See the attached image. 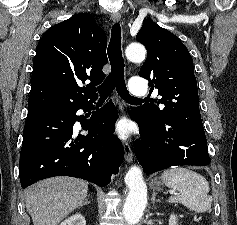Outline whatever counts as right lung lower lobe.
Wrapping results in <instances>:
<instances>
[{
	"instance_id": "1",
	"label": "right lung lower lobe",
	"mask_w": 237,
	"mask_h": 225,
	"mask_svg": "<svg viewBox=\"0 0 237 225\" xmlns=\"http://www.w3.org/2000/svg\"><path fill=\"white\" fill-rule=\"evenodd\" d=\"M95 98L62 109L28 114L20 153L21 186L54 177L71 176L106 186L124 158L121 141L112 133L117 110L107 103L91 119L77 116L89 111ZM81 123L88 135H76L73 125Z\"/></svg>"
}]
</instances>
